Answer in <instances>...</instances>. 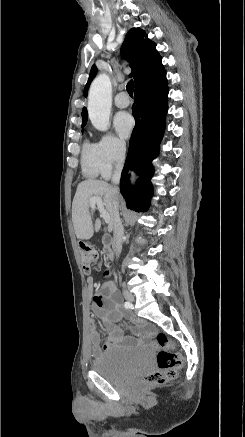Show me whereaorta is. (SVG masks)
<instances>
[{
  "instance_id": "obj_1",
  "label": "aorta",
  "mask_w": 245,
  "mask_h": 437,
  "mask_svg": "<svg viewBox=\"0 0 245 437\" xmlns=\"http://www.w3.org/2000/svg\"><path fill=\"white\" fill-rule=\"evenodd\" d=\"M112 84L106 74H100L92 82L88 95V114L92 125L106 131L109 125Z\"/></svg>"
}]
</instances>
